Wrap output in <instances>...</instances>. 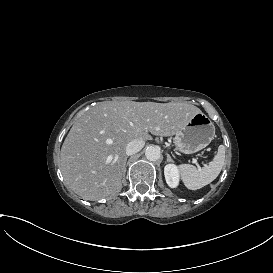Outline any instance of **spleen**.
I'll return each mask as SVG.
<instances>
[{
	"instance_id": "spleen-1",
	"label": "spleen",
	"mask_w": 273,
	"mask_h": 273,
	"mask_svg": "<svg viewBox=\"0 0 273 273\" xmlns=\"http://www.w3.org/2000/svg\"><path fill=\"white\" fill-rule=\"evenodd\" d=\"M225 162V146L218 147V153L209 165L201 169H197L193 165L182 164L179 166L182 180L185 186L190 190L200 189L212 181L219 175Z\"/></svg>"
}]
</instances>
